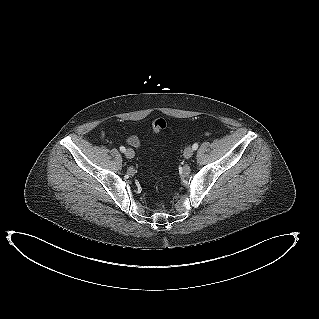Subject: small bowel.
Here are the masks:
<instances>
[{
	"label": "small bowel",
	"mask_w": 319,
	"mask_h": 319,
	"mask_svg": "<svg viewBox=\"0 0 319 319\" xmlns=\"http://www.w3.org/2000/svg\"><path fill=\"white\" fill-rule=\"evenodd\" d=\"M127 143L134 146L139 147L140 146V140L136 136H130L127 138Z\"/></svg>",
	"instance_id": "1"
}]
</instances>
